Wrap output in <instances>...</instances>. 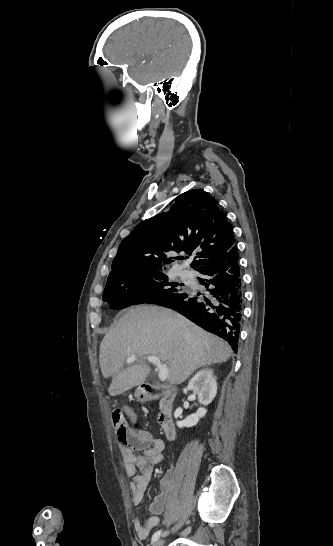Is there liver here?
<instances>
[{
	"label": "liver",
	"mask_w": 333,
	"mask_h": 546,
	"mask_svg": "<svg viewBox=\"0 0 333 546\" xmlns=\"http://www.w3.org/2000/svg\"><path fill=\"white\" fill-rule=\"evenodd\" d=\"M132 355L159 357L169 365L167 381L180 384L200 367L226 362L231 349L176 312L158 306H138L119 319L100 345L102 375L112 377L108 389L111 396L143 384L149 376L147 363L122 369L125 359Z\"/></svg>",
	"instance_id": "1"
}]
</instances>
